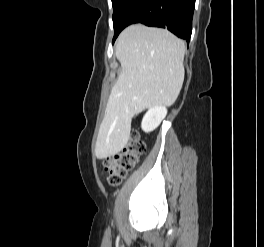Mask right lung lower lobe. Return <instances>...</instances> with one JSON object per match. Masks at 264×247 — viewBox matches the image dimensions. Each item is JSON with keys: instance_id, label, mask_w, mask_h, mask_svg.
I'll return each mask as SVG.
<instances>
[{"instance_id": "1", "label": "right lung lower lobe", "mask_w": 264, "mask_h": 247, "mask_svg": "<svg viewBox=\"0 0 264 247\" xmlns=\"http://www.w3.org/2000/svg\"><path fill=\"white\" fill-rule=\"evenodd\" d=\"M195 0H129L117 20L114 39L128 25L167 28L189 43Z\"/></svg>"}]
</instances>
